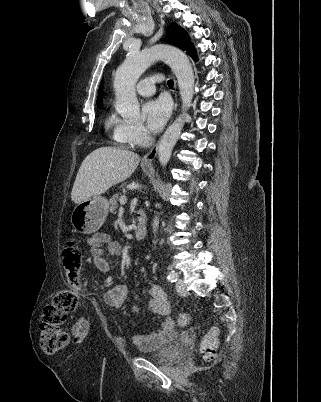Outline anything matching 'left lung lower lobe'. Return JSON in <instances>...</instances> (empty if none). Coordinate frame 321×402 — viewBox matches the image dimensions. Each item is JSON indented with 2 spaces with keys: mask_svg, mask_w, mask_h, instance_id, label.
I'll use <instances>...</instances> for the list:
<instances>
[{
  "mask_svg": "<svg viewBox=\"0 0 321 402\" xmlns=\"http://www.w3.org/2000/svg\"><path fill=\"white\" fill-rule=\"evenodd\" d=\"M189 55H190L194 60H196L197 56H196V53H195L194 50H192V51L189 53Z\"/></svg>",
  "mask_w": 321,
  "mask_h": 402,
  "instance_id": "left-lung-lower-lobe-1",
  "label": "left lung lower lobe"
}]
</instances>
